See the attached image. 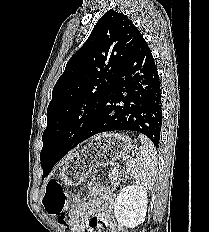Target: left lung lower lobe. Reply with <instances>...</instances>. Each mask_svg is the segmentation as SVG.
<instances>
[{
  "label": "left lung lower lobe",
  "instance_id": "1",
  "mask_svg": "<svg viewBox=\"0 0 209 232\" xmlns=\"http://www.w3.org/2000/svg\"><path fill=\"white\" fill-rule=\"evenodd\" d=\"M161 125L160 79L150 48L142 36L80 143L102 132L134 131L146 135L158 148Z\"/></svg>",
  "mask_w": 209,
  "mask_h": 232
}]
</instances>
